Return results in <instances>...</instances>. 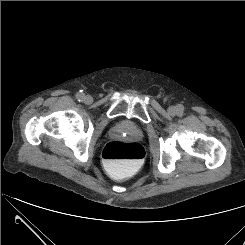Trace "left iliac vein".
Returning <instances> with one entry per match:
<instances>
[{"label": "left iliac vein", "instance_id": "obj_1", "mask_svg": "<svg viewBox=\"0 0 245 245\" xmlns=\"http://www.w3.org/2000/svg\"><path fill=\"white\" fill-rule=\"evenodd\" d=\"M177 108L175 107V106H170L169 108H168V113L170 114V115H176L177 114Z\"/></svg>", "mask_w": 245, "mask_h": 245}]
</instances>
